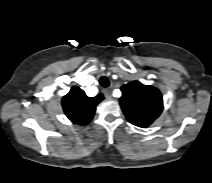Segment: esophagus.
I'll use <instances>...</instances> for the list:
<instances>
[{
    "label": "esophagus",
    "instance_id": "obj_1",
    "mask_svg": "<svg viewBox=\"0 0 212 183\" xmlns=\"http://www.w3.org/2000/svg\"><path fill=\"white\" fill-rule=\"evenodd\" d=\"M103 92H104L106 99H108V100L112 99L111 91L109 89H105Z\"/></svg>",
    "mask_w": 212,
    "mask_h": 183
}]
</instances>
